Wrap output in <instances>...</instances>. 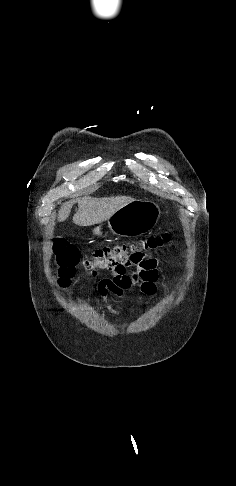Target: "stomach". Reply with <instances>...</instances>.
Instances as JSON below:
<instances>
[{
  "instance_id": "obj_1",
  "label": "stomach",
  "mask_w": 236,
  "mask_h": 486,
  "mask_svg": "<svg viewBox=\"0 0 236 486\" xmlns=\"http://www.w3.org/2000/svg\"><path fill=\"white\" fill-rule=\"evenodd\" d=\"M161 210L157 203L149 200H134L117 210L109 219L112 233L123 237H137L150 232L158 223ZM102 234L101 226L94 229Z\"/></svg>"
}]
</instances>
